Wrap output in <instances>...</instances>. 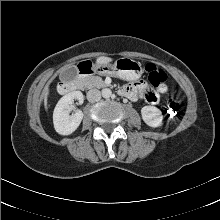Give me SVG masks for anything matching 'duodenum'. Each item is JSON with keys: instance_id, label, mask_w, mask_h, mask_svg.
<instances>
[{"instance_id": "duodenum-1", "label": "duodenum", "mask_w": 220, "mask_h": 220, "mask_svg": "<svg viewBox=\"0 0 220 220\" xmlns=\"http://www.w3.org/2000/svg\"><path fill=\"white\" fill-rule=\"evenodd\" d=\"M93 72V66L90 63H82L78 66V79L74 81H65L61 83L59 90L61 93H69L77 89L80 83V78L89 75Z\"/></svg>"}]
</instances>
